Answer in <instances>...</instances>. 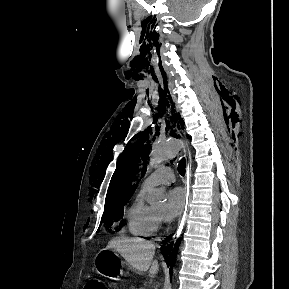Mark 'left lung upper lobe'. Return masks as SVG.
Returning a JSON list of instances; mask_svg holds the SVG:
<instances>
[{"label":"left lung upper lobe","instance_id":"5c2ea615","mask_svg":"<svg viewBox=\"0 0 289 289\" xmlns=\"http://www.w3.org/2000/svg\"><path fill=\"white\" fill-rule=\"evenodd\" d=\"M137 141L135 144H133L130 148H126L124 152L122 153L119 163L117 166V170L114 174L115 181L113 179V185L110 187V189L107 192V197L105 201V212L111 218V220L118 221L122 217V209L124 205L129 200L130 196L132 195L136 184L134 182L136 181V177L131 176L130 181L126 182L125 176L127 173H136L139 166L137 165V161L139 159V154L141 151V154L143 155V149H138L137 151L132 150V147L138 145ZM142 146V144L140 145ZM149 155V150L146 151L145 155L142 156V159H145ZM144 170V168H143ZM120 193V194H119ZM104 214V217L106 216ZM107 226L112 225V222H105Z\"/></svg>","mask_w":289,"mask_h":289}]
</instances>
